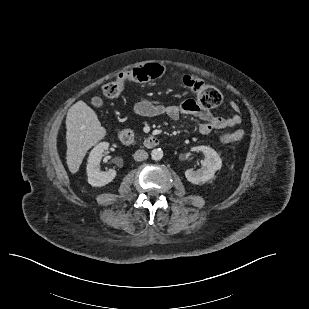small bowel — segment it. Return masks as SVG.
Returning a JSON list of instances; mask_svg holds the SVG:
<instances>
[{
  "label": "small bowel",
  "mask_w": 309,
  "mask_h": 309,
  "mask_svg": "<svg viewBox=\"0 0 309 309\" xmlns=\"http://www.w3.org/2000/svg\"><path fill=\"white\" fill-rule=\"evenodd\" d=\"M230 105L234 113L229 117L213 115L193 99H187L180 104L165 105L160 101L149 98H141L134 106V113L143 117L166 116L172 120H178L181 116L190 115L202 121L199 131L208 135L214 130L231 128L241 123L242 117L238 105L231 101Z\"/></svg>",
  "instance_id": "c3829d8e"
}]
</instances>
